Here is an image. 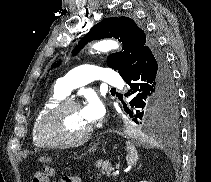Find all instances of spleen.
Masks as SVG:
<instances>
[{"label": "spleen", "mask_w": 211, "mask_h": 182, "mask_svg": "<svg viewBox=\"0 0 211 182\" xmlns=\"http://www.w3.org/2000/svg\"><path fill=\"white\" fill-rule=\"evenodd\" d=\"M126 145H127V149H128V154L126 156L127 163L129 165H134L138 161L137 150H136L135 146L130 142H127Z\"/></svg>", "instance_id": "3e777b00"}]
</instances>
